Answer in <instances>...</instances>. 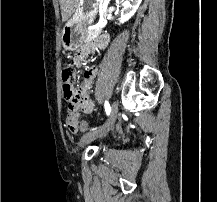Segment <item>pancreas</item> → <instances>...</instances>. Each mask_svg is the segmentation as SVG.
<instances>
[{
    "mask_svg": "<svg viewBox=\"0 0 217 202\" xmlns=\"http://www.w3.org/2000/svg\"><path fill=\"white\" fill-rule=\"evenodd\" d=\"M100 34L99 30H88V36L85 38L87 41H93L94 38L97 37V35Z\"/></svg>",
    "mask_w": 217,
    "mask_h": 202,
    "instance_id": "pancreas-1",
    "label": "pancreas"
}]
</instances>
